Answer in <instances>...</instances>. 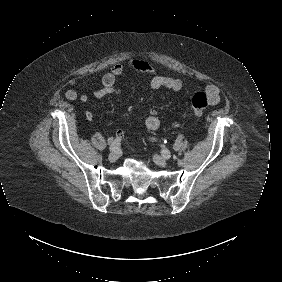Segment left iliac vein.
<instances>
[{
	"mask_svg": "<svg viewBox=\"0 0 282 282\" xmlns=\"http://www.w3.org/2000/svg\"><path fill=\"white\" fill-rule=\"evenodd\" d=\"M153 160L157 165H159L161 167H165L167 165L166 159L164 157L160 156V155L155 154L153 156Z\"/></svg>",
	"mask_w": 282,
	"mask_h": 282,
	"instance_id": "left-iliac-vein-1",
	"label": "left iliac vein"
}]
</instances>
